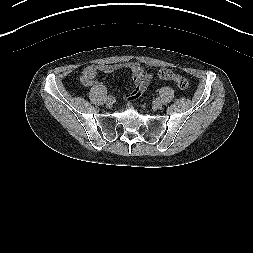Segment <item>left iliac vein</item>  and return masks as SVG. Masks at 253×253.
Masks as SVG:
<instances>
[{
    "instance_id": "4c4485c4",
    "label": "left iliac vein",
    "mask_w": 253,
    "mask_h": 253,
    "mask_svg": "<svg viewBox=\"0 0 253 253\" xmlns=\"http://www.w3.org/2000/svg\"><path fill=\"white\" fill-rule=\"evenodd\" d=\"M154 108L156 109H161L162 105L160 103H155L153 104Z\"/></svg>"
}]
</instances>
